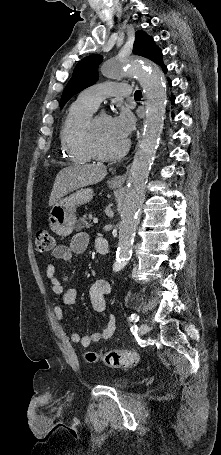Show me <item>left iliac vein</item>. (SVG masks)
<instances>
[{
    "label": "left iliac vein",
    "instance_id": "1",
    "mask_svg": "<svg viewBox=\"0 0 221 455\" xmlns=\"http://www.w3.org/2000/svg\"><path fill=\"white\" fill-rule=\"evenodd\" d=\"M149 331V326L146 323L140 325L139 333L144 336Z\"/></svg>",
    "mask_w": 221,
    "mask_h": 455
}]
</instances>
